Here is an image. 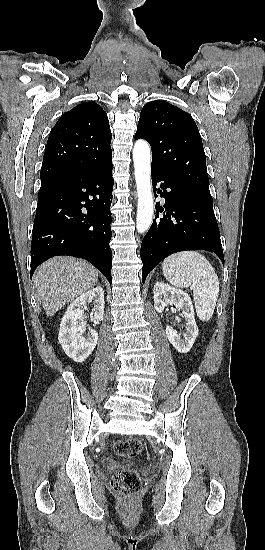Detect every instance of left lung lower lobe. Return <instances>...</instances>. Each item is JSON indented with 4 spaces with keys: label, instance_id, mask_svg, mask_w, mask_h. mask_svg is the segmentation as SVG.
I'll return each instance as SVG.
<instances>
[{
    "label": "left lung lower lobe",
    "instance_id": "1",
    "mask_svg": "<svg viewBox=\"0 0 265 550\" xmlns=\"http://www.w3.org/2000/svg\"><path fill=\"white\" fill-rule=\"evenodd\" d=\"M155 197L165 198L164 207L156 204L155 219L141 244L142 282L148 273L167 256L185 250L215 253L224 264L220 232L213 211V200L188 187L174 183L151 166ZM164 212L159 217L158 213Z\"/></svg>",
    "mask_w": 265,
    "mask_h": 550
}]
</instances>
